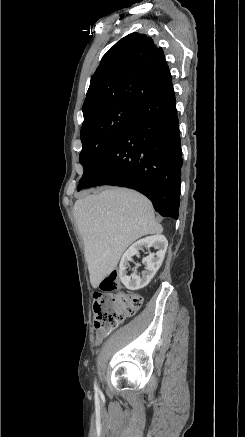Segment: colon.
I'll return each instance as SVG.
<instances>
[{
	"instance_id": "5ec220e1",
	"label": "colon",
	"mask_w": 245,
	"mask_h": 437,
	"mask_svg": "<svg viewBox=\"0 0 245 437\" xmlns=\"http://www.w3.org/2000/svg\"><path fill=\"white\" fill-rule=\"evenodd\" d=\"M94 295V324L97 334L106 335L120 325L125 317L134 315L142 306L137 293L119 290L118 271L114 270L100 283Z\"/></svg>"
}]
</instances>
